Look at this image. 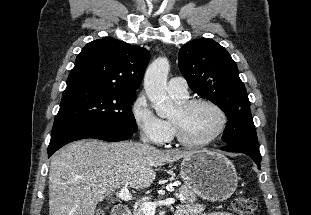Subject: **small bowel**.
<instances>
[{
  "mask_svg": "<svg viewBox=\"0 0 311 215\" xmlns=\"http://www.w3.org/2000/svg\"><path fill=\"white\" fill-rule=\"evenodd\" d=\"M175 215H233L228 212H215L206 209L201 205H181Z\"/></svg>",
  "mask_w": 311,
  "mask_h": 215,
  "instance_id": "obj_1",
  "label": "small bowel"
}]
</instances>
